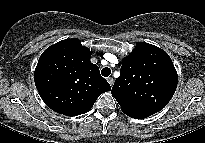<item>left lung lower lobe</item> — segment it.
I'll return each mask as SVG.
<instances>
[{
	"instance_id": "0a47b994",
	"label": "left lung lower lobe",
	"mask_w": 205,
	"mask_h": 143,
	"mask_svg": "<svg viewBox=\"0 0 205 143\" xmlns=\"http://www.w3.org/2000/svg\"><path fill=\"white\" fill-rule=\"evenodd\" d=\"M148 116H150V115H134V116H130V117L136 118V119H141V118H146Z\"/></svg>"
}]
</instances>
